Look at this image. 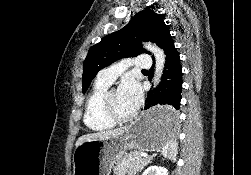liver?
<instances>
[{"mask_svg": "<svg viewBox=\"0 0 251 175\" xmlns=\"http://www.w3.org/2000/svg\"><path fill=\"white\" fill-rule=\"evenodd\" d=\"M126 127H118V129H112V131H98V133H86V135H81L79 139H77L75 145H81L83 141H87V139H111L114 135H119V131H123Z\"/></svg>", "mask_w": 251, "mask_h": 175, "instance_id": "obj_1", "label": "liver"}]
</instances>
